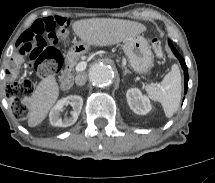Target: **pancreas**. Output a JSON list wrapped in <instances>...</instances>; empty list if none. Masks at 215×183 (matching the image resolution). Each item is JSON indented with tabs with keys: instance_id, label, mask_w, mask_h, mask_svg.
<instances>
[{
	"instance_id": "1",
	"label": "pancreas",
	"mask_w": 215,
	"mask_h": 183,
	"mask_svg": "<svg viewBox=\"0 0 215 183\" xmlns=\"http://www.w3.org/2000/svg\"><path fill=\"white\" fill-rule=\"evenodd\" d=\"M69 63H70V66H71V67H74L75 64H76V60H73V61H71V62H69Z\"/></svg>"
}]
</instances>
